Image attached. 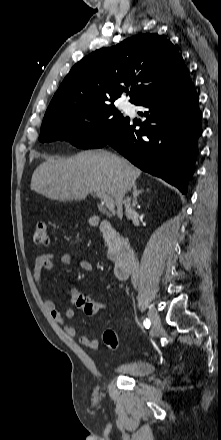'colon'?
<instances>
[{
    "mask_svg": "<svg viewBox=\"0 0 221 440\" xmlns=\"http://www.w3.org/2000/svg\"><path fill=\"white\" fill-rule=\"evenodd\" d=\"M33 238L35 243L38 245L46 246L49 244L48 229L44 222H38L36 224L33 232ZM76 308L82 310L86 314L94 315L101 310H104L106 306L101 301L92 300L82 294H79L76 298ZM103 340L105 345L111 350H115L119 346L117 333L111 328L105 330Z\"/></svg>",
    "mask_w": 221,
    "mask_h": 440,
    "instance_id": "1",
    "label": "colon"
}]
</instances>
